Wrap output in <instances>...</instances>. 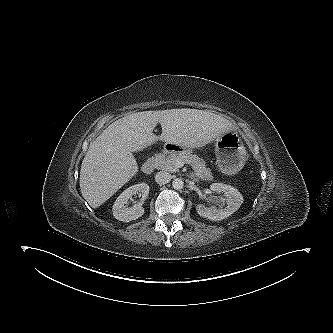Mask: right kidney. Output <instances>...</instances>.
<instances>
[{"label":"right kidney","mask_w":333,"mask_h":333,"mask_svg":"<svg viewBox=\"0 0 333 333\" xmlns=\"http://www.w3.org/2000/svg\"><path fill=\"white\" fill-rule=\"evenodd\" d=\"M149 193V186L145 183L136 184L125 191H123L120 196L117 198L113 205V215L114 217L123 222H129L136 220L144 214V208L140 204H135L131 207H128L129 199L135 195L139 194L142 196H147Z\"/></svg>","instance_id":"right-kidney-1"}]
</instances>
